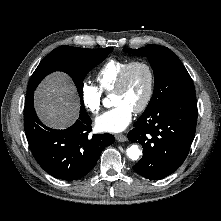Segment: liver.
<instances>
[{"mask_svg":"<svg viewBox=\"0 0 221 221\" xmlns=\"http://www.w3.org/2000/svg\"><path fill=\"white\" fill-rule=\"evenodd\" d=\"M34 99L38 117L49 127L64 129L78 118L74 86L64 73L49 75L35 91Z\"/></svg>","mask_w":221,"mask_h":221,"instance_id":"liver-1","label":"liver"}]
</instances>
